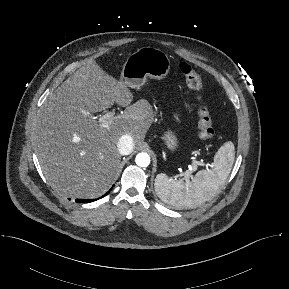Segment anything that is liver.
Instances as JSON below:
<instances>
[{
  "label": "liver",
  "mask_w": 289,
  "mask_h": 289,
  "mask_svg": "<svg viewBox=\"0 0 289 289\" xmlns=\"http://www.w3.org/2000/svg\"><path fill=\"white\" fill-rule=\"evenodd\" d=\"M132 102L128 86L93 59L48 96L35 125L34 146L53 190L74 198H95L108 190L121 160L120 137L128 134L138 145L153 122L146 100ZM114 103L125 112L103 126L94 113Z\"/></svg>",
  "instance_id": "1"
}]
</instances>
